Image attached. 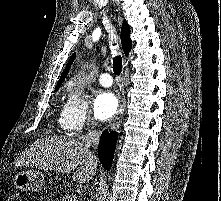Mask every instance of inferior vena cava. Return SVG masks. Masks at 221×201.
Segmentation results:
<instances>
[{"label":"inferior vena cava","mask_w":221,"mask_h":201,"mask_svg":"<svg viewBox=\"0 0 221 201\" xmlns=\"http://www.w3.org/2000/svg\"><path fill=\"white\" fill-rule=\"evenodd\" d=\"M99 138H100V132L96 130H88L84 143L87 146H92L95 149L98 147L99 144Z\"/></svg>","instance_id":"602c4592"}]
</instances>
